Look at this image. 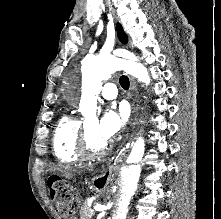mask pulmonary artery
I'll list each match as a JSON object with an SVG mask.
<instances>
[{
    "instance_id": "e3ab8cb5",
    "label": "pulmonary artery",
    "mask_w": 221,
    "mask_h": 219,
    "mask_svg": "<svg viewBox=\"0 0 221 219\" xmlns=\"http://www.w3.org/2000/svg\"><path fill=\"white\" fill-rule=\"evenodd\" d=\"M103 98L112 100L118 95L117 87L112 83H106L100 90Z\"/></svg>"
}]
</instances>
